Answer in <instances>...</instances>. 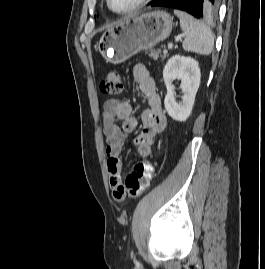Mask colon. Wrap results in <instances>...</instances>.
Returning a JSON list of instances; mask_svg holds the SVG:
<instances>
[{
	"mask_svg": "<svg viewBox=\"0 0 265 269\" xmlns=\"http://www.w3.org/2000/svg\"><path fill=\"white\" fill-rule=\"evenodd\" d=\"M101 90L106 95H119L123 91V82L119 72L110 70L101 84ZM153 173L154 167L151 163L137 162L125 178L123 189L118 193L119 200L140 196L150 186Z\"/></svg>",
	"mask_w": 265,
	"mask_h": 269,
	"instance_id": "obj_1",
	"label": "colon"
}]
</instances>
